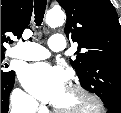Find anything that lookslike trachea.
Returning <instances> with one entry per match:
<instances>
[{
  "mask_svg": "<svg viewBox=\"0 0 121 113\" xmlns=\"http://www.w3.org/2000/svg\"><path fill=\"white\" fill-rule=\"evenodd\" d=\"M46 5H47V0H35L34 14H35V22L38 26H40L43 21Z\"/></svg>",
  "mask_w": 121,
  "mask_h": 113,
  "instance_id": "obj_1",
  "label": "trachea"
}]
</instances>
